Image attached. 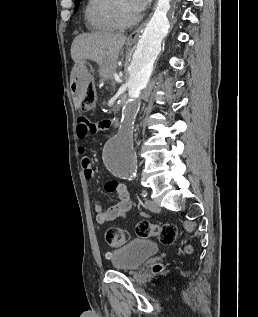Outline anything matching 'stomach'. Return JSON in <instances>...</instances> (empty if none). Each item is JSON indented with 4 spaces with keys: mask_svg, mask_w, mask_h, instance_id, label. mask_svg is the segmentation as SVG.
<instances>
[{
    "mask_svg": "<svg viewBox=\"0 0 258 317\" xmlns=\"http://www.w3.org/2000/svg\"><path fill=\"white\" fill-rule=\"evenodd\" d=\"M127 46H132V42H130L129 38L127 40ZM87 64H89V62H87V58H83V60H78V62L74 64L73 82H78V78L79 76H82V74H89Z\"/></svg>",
    "mask_w": 258,
    "mask_h": 317,
    "instance_id": "0dacf381",
    "label": "stomach"
}]
</instances>
